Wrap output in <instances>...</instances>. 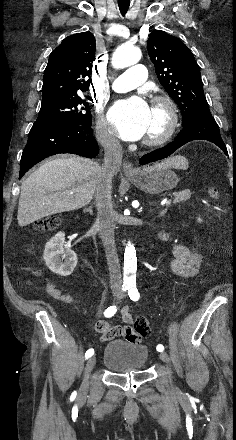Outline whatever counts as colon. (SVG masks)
<instances>
[{
  "mask_svg": "<svg viewBox=\"0 0 236 440\" xmlns=\"http://www.w3.org/2000/svg\"><path fill=\"white\" fill-rule=\"evenodd\" d=\"M209 194L212 198L218 199L220 193L217 188L210 187ZM59 219L57 217H49L46 220L40 221L36 224V228L40 231H51L56 229L59 226ZM134 330H137L139 336L137 339H130L131 342L140 341L143 338H146L150 333V326L144 317H137L134 322Z\"/></svg>",
  "mask_w": 236,
  "mask_h": 440,
  "instance_id": "5ec220e1",
  "label": "colon"
}]
</instances>
